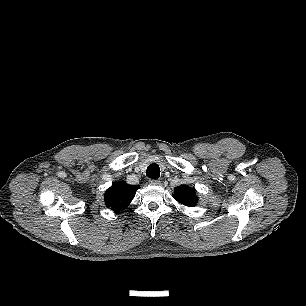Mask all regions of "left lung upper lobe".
<instances>
[{"instance_id":"left-lung-upper-lobe-1","label":"left lung upper lobe","mask_w":306,"mask_h":306,"mask_svg":"<svg viewBox=\"0 0 306 306\" xmlns=\"http://www.w3.org/2000/svg\"><path fill=\"white\" fill-rule=\"evenodd\" d=\"M173 197L181 204L193 207L198 201V197L194 188H189L187 185H181L175 188Z\"/></svg>"}]
</instances>
